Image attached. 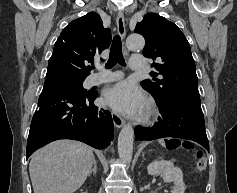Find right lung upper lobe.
Segmentation results:
<instances>
[{
    "mask_svg": "<svg viewBox=\"0 0 237 193\" xmlns=\"http://www.w3.org/2000/svg\"><path fill=\"white\" fill-rule=\"evenodd\" d=\"M111 42L109 29L95 12L70 22L57 39L47 71L56 70L68 75L86 78L91 71L88 63L108 48Z\"/></svg>",
    "mask_w": 237,
    "mask_h": 193,
    "instance_id": "right-lung-upper-lobe-1",
    "label": "right lung upper lobe"
}]
</instances>
